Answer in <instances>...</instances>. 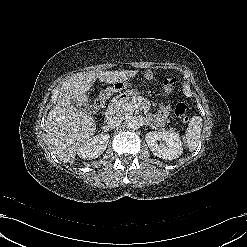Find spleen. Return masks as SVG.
Returning a JSON list of instances; mask_svg holds the SVG:
<instances>
[{
	"instance_id": "3e777b00",
	"label": "spleen",
	"mask_w": 247,
	"mask_h": 247,
	"mask_svg": "<svg viewBox=\"0 0 247 247\" xmlns=\"http://www.w3.org/2000/svg\"><path fill=\"white\" fill-rule=\"evenodd\" d=\"M202 118L200 116H193L188 124V128L186 129L184 135V143L185 146L189 149V151L193 152L196 150L202 132Z\"/></svg>"
}]
</instances>
